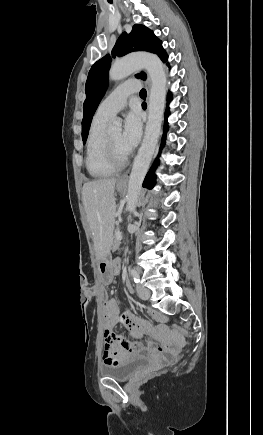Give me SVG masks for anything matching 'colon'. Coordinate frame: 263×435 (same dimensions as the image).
Here are the masks:
<instances>
[{"mask_svg":"<svg viewBox=\"0 0 263 435\" xmlns=\"http://www.w3.org/2000/svg\"><path fill=\"white\" fill-rule=\"evenodd\" d=\"M100 294L104 297L105 293L104 291L100 290ZM106 303V302H105ZM104 303V305H105ZM169 329H175L177 332H179L181 335H184L183 337L186 339L187 336V330L185 327H180L179 324H169L167 326ZM102 343L101 348L102 350H111L112 344L114 343V330L112 328H106L103 331L102 334Z\"/></svg>","mask_w":263,"mask_h":435,"instance_id":"colon-1","label":"colon"}]
</instances>
